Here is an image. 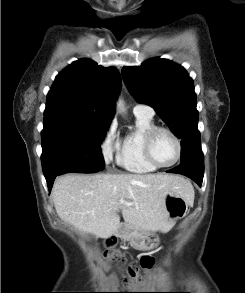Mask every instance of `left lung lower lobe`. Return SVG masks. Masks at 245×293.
Here are the masks:
<instances>
[{
  "instance_id": "obj_1",
  "label": "left lung lower lobe",
  "mask_w": 245,
  "mask_h": 293,
  "mask_svg": "<svg viewBox=\"0 0 245 293\" xmlns=\"http://www.w3.org/2000/svg\"><path fill=\"white\" fill-rule=\"evenodd\" d=\"M168 173H177L185 175L195 181L199 186L202 185L204 176V167H198L191 164H180L174 169L167 171Z\"/></svg>"
}]
</instances>
